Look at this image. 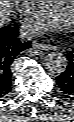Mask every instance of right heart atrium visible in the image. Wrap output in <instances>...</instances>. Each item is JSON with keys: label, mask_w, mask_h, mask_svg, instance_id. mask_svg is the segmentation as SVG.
Listing matches in <instances>:
<instances>
[{"label": "right heart atrium", "mask_w": 74, "mask_h": 122, "mask_svg": "<svg viewBox=\"0 0 74 122\" xmlns=\"http://www.w3.org/2000/svg\"><path fill=\"white\" fill-rule=\"evenodd\" d=\"M37 2L39 1H21L22 10L20 13L28 14Z\"/></svg>", "instance_id": "d8ad5b80"}]
</instances>
